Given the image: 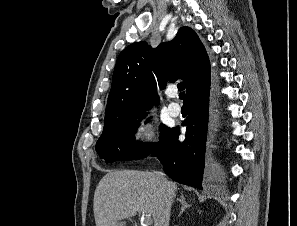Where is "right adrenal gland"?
<instances>
[{"label": "right adrenal gland", "instance_id": "obj_1", "mask_svg": "<svg viewBox=\"0 0 297 226\" xmlns=\"http://www.w3.org/2000/svg\"><path fill=\"white\" fill-rule=\"evenodd\" d=\"M177 200L180 201L182 204L181 211L179 213V216H181L183 214V212L185 211V209L189 208L191 205L186 203V199H185L184 195H181V199H177Z\"/></svg>", "mask_w": 297, "mask_h": 226}]
</instances>
